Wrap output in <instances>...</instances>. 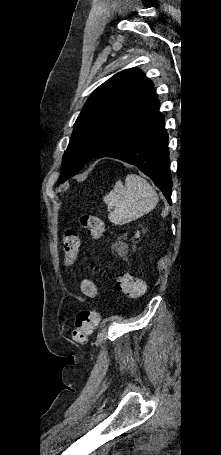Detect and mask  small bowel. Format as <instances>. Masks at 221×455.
Here are the masks:
<instances>
[{"label": "small bowel", "mask_w": 221, "mask_h": 455, "mask_svg": "<svg viewBox=\"0 0 221 455\" xmlns=\"http://www.w3.org/2000/svg\"><path fill=\"white\" fill-rule=\"evenodd\" d=\"M80 288L82 293L87 297L94 298L98 294V290L95 283L89 279L83 280L81 282Z\"/></svg>", "instance_id": "small-bowel-1"}]
</instances>
